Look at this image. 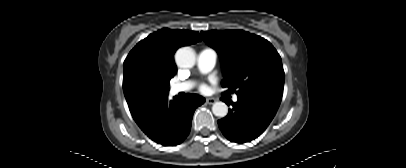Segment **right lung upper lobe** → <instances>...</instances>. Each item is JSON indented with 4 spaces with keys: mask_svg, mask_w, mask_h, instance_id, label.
<instances>
[{
    "mask_svg": "<svg viewBox=\"0 0 406 168\" xmlns=\"http://www.w3.org/2000/svg\"><path fill=\"white\" fill-rule=\"evenodd\" d=\"M200 40L198 32L164 28L131 50L124 61L123 90L132 116L149 106L143 96L147 83L166 84L176 74L175 51Z\"/></svg>",
    "mask_w": 406,
    "mask_h": 168,
    "instance_id": "cb5924a9",
    "label": "right lung upper lobe"
}]
</instances>
